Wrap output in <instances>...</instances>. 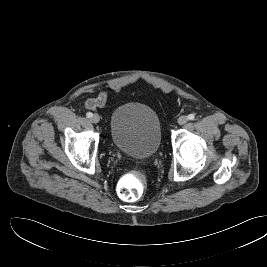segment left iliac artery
I'll use <instances>...</instances> for the list:
<instances>
[{
  "label": "left iliac artery",
  "instance_id": "44dca946",
  "mask_svg": "<svg viewBox=\"0 0 267 267\" xmlns=\"http://www.w3.org/2000/svg\"><path fill=\"white\" fill-rule=\"evenodd\" d=\"M188 119L189 120H194L195 119V115L194 114H189L188 115Z\"/></svg>",
  "mask_w": 267,
  "mask_h": 267
}]
</instances>
